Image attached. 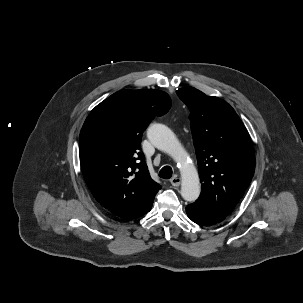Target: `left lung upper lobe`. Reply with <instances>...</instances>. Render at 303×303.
I'll use <instances>...</instances> for the list:
<instances>
[{
  "label": "left lung upper lobe",
  "instance_id": "obj_1",
  "mask_svg": "<svg viewBox=\"0 0 303 303\" xmlns=\"http://www.w3.org/2000/svg\"><path fill=\"white\" fill-rule=\"evenodd\" d=\"M190 110L202 192L196 202L230 215L249 186L255 170L250 136L224 100L185 87L177 90Z\"/></svg>",
  "mask_w": 303,
  "mask_h": 303
}]
</instances>
